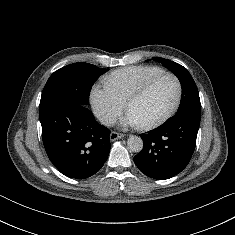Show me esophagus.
I'll return each instance as SVG.
<instances>
[{"label": "esophagus", "mask_w": 235, "mask_h": 235, "mask_svg": "<svg viewBox=\"0 0 235 235\" xmlns=\"http://www.w3.org/2000/svg\"><path fill=\"white\" fill-rule=\"evenodd\" d=\"M122 137H124L123 134L117 133V132H114V131H112L111 134H110V140L111 141H115V140L120 139Z\"/></svg>", "instance_id": "34e87169"}]
</instances>
